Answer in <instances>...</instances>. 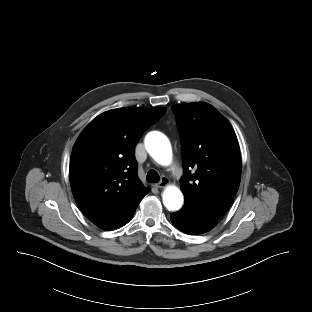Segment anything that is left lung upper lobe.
Segmentation results:
<instances>
[{
  "mask_svg": "<svg viewBox=\"0 0 312 312\" xmlns=\"http://www.w3.org/2000/svg\"><path fill=\"white\" fill-rule=\"evenodd\" d=\"M181 137L184 206L218 219L228 209L241 179V156L229 121L212 105L172 106Z\"/></svg>",
  "mask_w": 312,
  "mask_h": 312,
  "instance_id": "5c2ea615",
  "label": "left lung upper lobe"
}]
</instances>
